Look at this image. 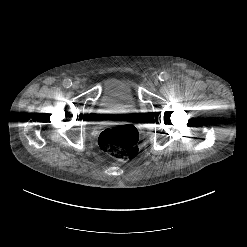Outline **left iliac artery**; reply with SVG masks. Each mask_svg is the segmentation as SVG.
I'll list each match as a JSON object with an SVG mask.
<instances>
[{"label":"left iliac artery","instance_id":"44dca946","mask_svg":"<svg viewBox=\"0 0 247 247\" xmlns=\"http://www.w3.org/2000/svg\"><path fill=\"white\" fill-rule=\"evenodd\" d=\"M169 79V74L166 72H161L159 75V80L160 81H166Z\"/></svg>","mask_w":247,"mask_h":247}]
</instances>
